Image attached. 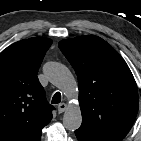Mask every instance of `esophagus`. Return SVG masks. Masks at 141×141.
<instances>
[{
    "instance_id": "34e87169",
    "label": "esophagus",
    "mask_w": 141,
    "mask_h": 141,
    "mask_svg": "<svg viewBox=\"0 0 141 141\" xmlns=\"http://www.w3.org/2000/svg\"><path fill=\"white\" fill-rule=\"evenodd\" d=\"M57 109L59 113H63L67 109V105L65 103H60L57 106Z\"/></svg>"
}]
</instances>
